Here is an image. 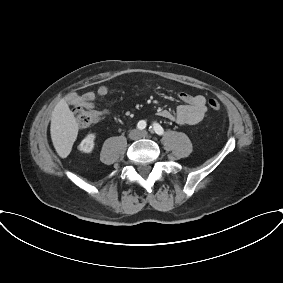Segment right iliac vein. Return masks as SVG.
<instances>
[{
  "instance_id": "63e3f726",
  "label": "right iliac vein",
  "mask_w": 283,
  "mask_h": 283,
  "mask_svg": "<svg viewBox=\"0 0 283 283\" xmlns=\"http://www.w3.org/2000/svg\"><path fill=\"white\" fill-rule=\"evenodd\" d=\"M129 138H130L131 140H137V139H139V138H140V132H139L137 129L130 131V133H129Z\"/></svg>"
}]
</instances>
